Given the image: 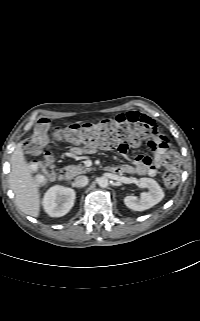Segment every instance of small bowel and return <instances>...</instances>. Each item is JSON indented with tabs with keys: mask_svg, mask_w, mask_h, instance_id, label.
Instances as JSON below:
<instances>
[{
	"mask_svg": "<svg viewBox=\"0 0 200 321\" xmlns=\"http://www.w3.org/2000/svg\"><path fill=\"white\" fill-rule=\"evenodd\" d=\"M122 116L135 120L141 119L150 124V126L156 132L155 122L149 117L142 115L138 112H127L126 114H122ZM148 146L153 151V156L146 155H138L133 159V164H123L119 166H114L112 168L115 172H122L126 174H136V175H148V176H156L158 174L159 169L164 163L165 152L168 147V140L164 136H158L154 139H150L148 141ZM76 153L79 151L76 150Z\"/></svg>",
	"mask_w": 200,
	"mask_h": 321,
	"instance_id": "small-bowel-1",
	"label": "small bowel"
}]
</instances>
